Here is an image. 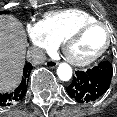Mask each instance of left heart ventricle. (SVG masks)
Returning a JSON list of instances; mask_svg holds the SVG:
<instances>
[{
  "label": "left heart ventricle",
  "instance_id": "obj_1",
  "mask_svg": "<svg viewBox=\"0 0 117 117\" xmlns=\"http://www.w3.org/2000/svg\"><path fill=\"white\" fill-rule=\"evenodd\" d=\"M107 40V31L101 26L87 29L71 46V53L77 58H86L99 51Z\"/></svg>",
  "mask_w": 117,
  "mask_h": 117
}]
</instances>
